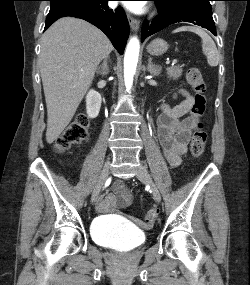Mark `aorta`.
Here are the masks:
<instances>
[{
    "instance_id": "obj_1",
    "label": "aorta",
    "mask_w": 250,
    "mask_h": 285,
    "mask_svg": "<svg viewBox=\"0 0 250 285\" xmlns=\"http://www.w3.org/2000/svg\"><path fill=\"white\" fill-rule=\"evenodd\" d=\"M140 50V43L137 37H132L127 44L124 55V82L127 91L133 85V77L136 72Z\"/></svg>"
}]
</instances>
